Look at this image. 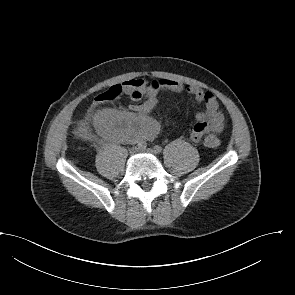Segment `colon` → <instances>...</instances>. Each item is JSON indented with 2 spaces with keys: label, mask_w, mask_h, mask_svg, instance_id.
Wrapping results in <instances>:
<instances>
[{
  "label": "colon",
  "mask_w": 295,
  "mask_h": 295,
  "mask_svg": "<svg viewBox=\"0 0 295 295\" xmlns=\"http://www.w3.org/2000/svg\"><path fill=\"white\" fill-rule=\"evenodd\" d=\"M122 91H123V85H120V84L113 85L109 89H107L105 92L99 94L95 98L94 104L101 105L106 103H112L119 98ZM77 133L83 138H88L90 136L89 130L85 125L78 127ZM204 143L206 146L214 148L219 146L220 139L215 134H208L204 139Z\"/></svg>",
  "instance_id": "colon-1"
}]
</instances>
